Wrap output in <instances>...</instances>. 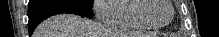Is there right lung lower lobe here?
Here are the masks:
<instances>
[{
    "mask_svg": "<svg viewBox=\"0 0 219 37\" xmlns=\"http://www.w3.org/2000/svg\"><path fill=\"white\" fill-rule=\"evenodd\" d=\"M60 13H73L92 17V5L75 0H30L28 6V30L30 35L36 26L46 18Z\"/></svg>",
    "mask_w": 219,
    "mask_h": 37,
    "instance_id": "98d812e1",
    "label": "right lung lower lobe"
}]
</instances>
